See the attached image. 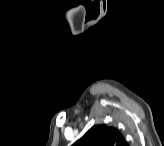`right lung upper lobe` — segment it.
Masks as SVG:
<instances>
[{"label":"right lung upper lobe","instance_id":"right-lung-upper-lobe-1","mask_svg":"<svg viewBox=\"0 0 164 146\" xmlns=\"http://www.w3.org/2000/svg\"><path fill=\"white\" fill-rule=\"evenodd\" d=\"M75 146H127V142L118 130L106 125H95L88 130Z\"/></svg>","mask_w":164,"mask_h":146}]
</instances>
